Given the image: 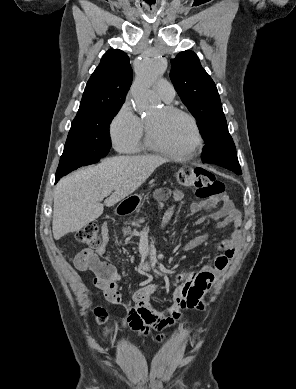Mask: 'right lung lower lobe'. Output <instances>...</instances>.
<instances>
[{"label":"right lung lower lobe","instance_id":"obj_1","mask_svg":"<svg viewBox=\"0 0 296 389\" xmlns=\"http://www.w3.org/2000/svg\"><path fill=\"white\" fill-rule=\"evenodd\" d=\"M69 172H71L70 170H62V171H57L56 172V175H55V183L59 180V178L67 175Z\"/></svg>","mask_w":296,"mask_h":389}]
</instances>
